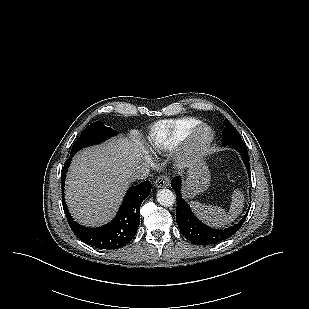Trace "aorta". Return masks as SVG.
I'll use <instances>...</instances> for the list:
<instances>
[{
    "label": "aorta",
    "instance_id": "1",
    "mask_svg": "<svg viewBox=\"0 0 309 309\" xmlns=\"http://www.w3.org/2000/svg\"><path fill=\"white\" fill-rule=\"evenodd\" d=\"M175 195L169 189H161L157 192V201L161 206L170 207L175 203Z\"/></svg>",
    "mask_w": 309,
    "mask_h": 309
}]
</instances>
